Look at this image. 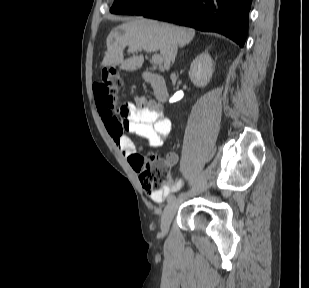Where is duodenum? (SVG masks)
I'll use <instances>...</instances> for the list:
<instances>
[{"label": "duodenum", "instance_id": "obj_1", "mask_svg": "<svg viewBox=\"0 0 309 288\" xmlns=\"http://www.w3.org/2000/svg\"><path fill=\"white\" fill-rule=\"evenodd\" d=\"M145 80L152 86L157 101L164 103L168 98V89L163 77L148 71L145 73Z\"/></svg>", "mask_w": 309, "mask_h": 288}]
</instances>
